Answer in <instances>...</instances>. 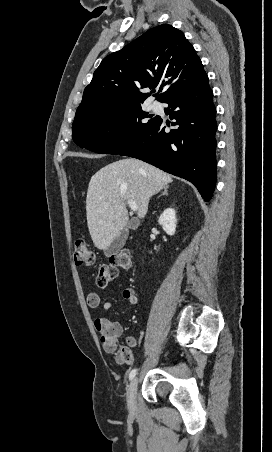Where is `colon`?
<instances>
[{"mask_svg":"<svg viewBox=\"0 0 272 452\" xmlns=\"http://www.w3.org/2000/svg\"><path fill=\"white\" fill-rule=\"evenodd\" d=\"M74 262L77 266H92L95 264V253L90 245L83 239L75 242ZM131 268V256L129 252H120L110 257L107 263L101 264L96 273V283L100 287H106L114 282L121 270ZM130 345L133 343L129 342ZM133 354L128 347H122L117 355V362L130 364Z\"/></svg>","mask_w":272,"mask_h":452,"instance_id":"5ec220e1","label":"colon"}]
</instances>
